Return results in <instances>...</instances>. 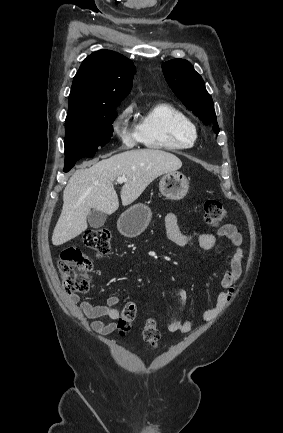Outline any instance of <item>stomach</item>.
I'll list each match as a JSON object with an SVG mask.
<instances>
[{
    "label": "stomach",
    "mask_w": 283,
    "mask_h": 433,
    "mask_svg": "<svg viewBox=\"0 0 283 433\" xmlns=\"http://www.w3.org/2000/svg\"><path fill=\"white\" fill-rule=\"evenodd\" d=\"M160 192L171 198V200H180L188 192L189 180L182 172H165L159 182ZM152 217L151 208L138 202L122 212L118 219L117 227L124 237H137L148 227Z\"/></svg>",
    "instance_id": "0dacf381"
}]
</instances>
